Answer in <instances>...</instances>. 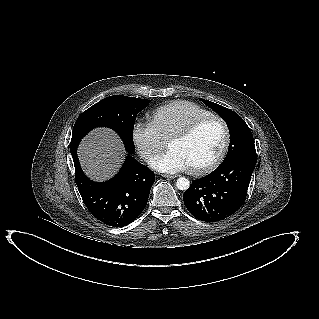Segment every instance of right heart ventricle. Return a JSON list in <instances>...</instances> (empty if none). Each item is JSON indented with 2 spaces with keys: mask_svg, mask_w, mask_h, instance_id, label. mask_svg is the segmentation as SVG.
<instances>
[{
  "mask_svg": "<svg viewBox=\"0 0 319 319\" xmlns=\"http://www.w3.org/2000/svg\"><path fill=\"white\" fill-rule=\"evenodd\" d=\"M211 114L210 111L196 103L175 100L154 109L149 118L153 126L167 141L193 120Z\"/></svg>",
  "mask_w": 319,
  "mask_h": 319,
  "instance_id": "1",
  "label": "right heart ventricle"
}]
</instances>
